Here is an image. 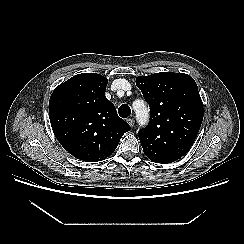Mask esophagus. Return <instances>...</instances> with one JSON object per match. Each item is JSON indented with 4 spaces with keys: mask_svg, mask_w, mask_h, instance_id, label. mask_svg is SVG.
I'll list each match as a JSON object with an SVG mask.
<instances>
[{
    "mask_svg": "<svg viewBox=\"0 0 244 244\" xmlns=\"http://www.w3.org/2000/svg\"><path fill=\"white\" fill-rule=\"evenodd\" d=\"M126 121L131 127L134 126L135 121L133 118H128Z\"/></svg>",
    "mask_w": 244,
    "mask_h": 244,
    "instance_id": "esophagus-1",
    "label": "esophagus"
}]
</instances>
